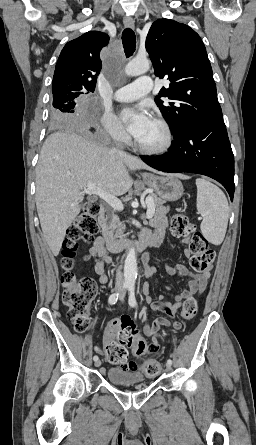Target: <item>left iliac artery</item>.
I'll use <instances>...</instances> for the list:
<instances>
[{"instance_id":"44dca946","label":"left iliac artery","mask_w":256,"mask_h":445,"mask_svg":"<svg viewBox=\"0 0 256 445\" xmlns=\"http://www.w3.org/2000/svg\"><path fill=\"white\" fill-rule=\"evenodd\" d=\"M128 296H129V298H128L129 305L131 307H137V301H136V298H135V286L134 285H130L128 287ZM167 364L171 365L172 364V360L168 359L167 360Z\"/></svg>"}]
</instances>
